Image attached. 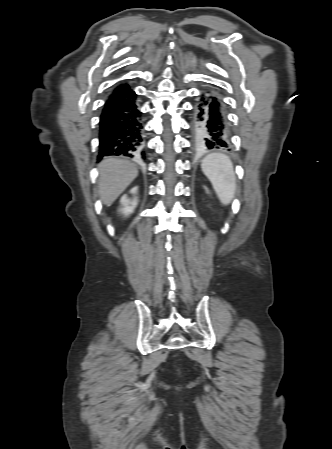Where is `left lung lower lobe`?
Returning <instances> with one entry per match:
<instances>
[{
	"mask_svg": "<svg viewBox=\"0 0 332 449\" xmlns=\"http://www.w3.org/2000/svg\"><path fill=\"white\" fill-rule=\"evenodd\" d=\"M194 148L230 150V134L225 109L213 90H205L197 101L192 119Z\"/></svg>",
	"mask_w": 332,
	"mask_h": 449,
	"instance_id": "obj_1",
	"label": "left lung lower lobe"
}]
</instances>
